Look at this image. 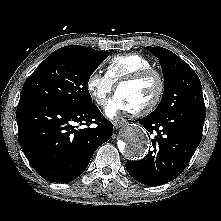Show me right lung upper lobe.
<instances>
[{"label":"right lung upper lobe","mask_w":221,"mask_h":221,"mask_svg":"<svg viewBox=\"0 0 221 221\" xmlns=\"http://www.w3.org/2000/svg\"><path fill=\"white\" fill-rule=\"evenodd\" d=\"M71 46L75 47V48H79V49L84 50V51L89 52V53L96 52V50L88 48V47H83V46H78V45H71Z\"/></svg>","instance_id":"cb5924a9"}]
</instances>
